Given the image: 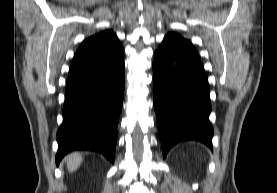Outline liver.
Returning a JSON list of instances; mask_svg holds the SVG:
<instances>
[{"mask_svg":"<svg viewBox=\"0 0 277 193\" xmlns=\"http://www.w3.org/2000/svg\"><path fill=\"white\" fill-rule=\"evenodd\" d=\"M67 168L69 172H73L78 169L82 162V156L79 153H73L66 157Z\"/></svg>","mask_w":277,"mask_h":193,"instance_id":"obj_1","label":"liver"}]
</instances>
